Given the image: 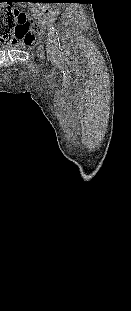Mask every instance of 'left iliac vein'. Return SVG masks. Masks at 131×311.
I'll use <instances>...</instances> for the list:
<instances>
[{
    "instance_id": "1",
    "label": "left iliac vein",
    "mask_w": 131,
    "mask_h": 311,
    "mask_svg": "<svg viewBox=\"0 0 131 311\" xmlns=\"http://www.w3.org/2000/svg\"><path fill=\"white\" fill-rule=\"evenodd\" d=\"M47 51L48 53H52V46L50 43H47Z\"/></svg>"
}]
</instances>
